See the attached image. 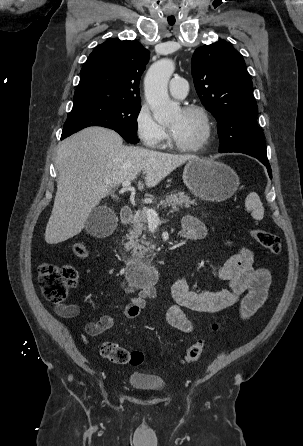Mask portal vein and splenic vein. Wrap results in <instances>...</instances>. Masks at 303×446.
Masks as SVG:
<instances>
[{"mask_svg":"<svg viewBox=\"0 0 303 446\" xmlns=\"http://www.w3.org/2000/svg\"><path fill=\"white\" fill-rule=\"evenodd\" d=\"M131 185V181L129 180H125L122 182V186L123 187H129ZM144 212L147 218V221L149 223H153V224H158L159 223V217H158V213L153 210V209H149V208H144Z\"/></svg>","mask_w":303,"mask_h":446,"instance_id":"obj_1","label":"portal vein and splenic vein"}]
</instances>
